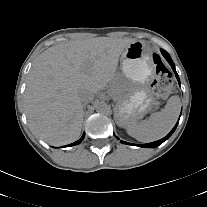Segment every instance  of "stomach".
Returning a JSON list of instances; mask_svg holds the SVG:
<instances>
[{
  "instance_id": "stomach-1",
  "label": "stomach",
  "mask_w": 207,
  "mask_h": 207,
  "mask_svg": "<svg viewBox=\"0 0 207 207\" xmlns=\"http://www.w3.org/2000/svg\"><path fill=\"white\" fill-rule=\"evenodd\" d=\"M123 77L115 86V120L119 126L126 127L132 119L144 114L152 104L151 90L146 87L154 75L152 53L141 41H134L121 54ZM132 81L136 87L126 89L124 85Z\"/></svg>"
}]
</instances>
